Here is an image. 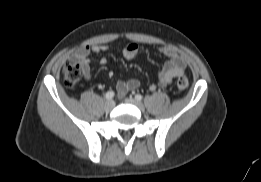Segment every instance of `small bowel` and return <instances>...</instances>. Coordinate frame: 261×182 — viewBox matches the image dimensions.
<instances>
[{"instance_id":"1","label":"small bowel","mask_w":261,"mask_h":182,"mask_svg":"<svg viewBox=\"0 0 261 182\" xmlns=\"http://www.w3.org/2000/svg\"><path fill=\"white\" fill-rule=\"evenodd\" d=\"M108 50L109 46L107 45H86L75 51L70 59L80 65L84 78L88 81L91 78L90 65L93 61L91 54L100 55ZM158 51L167 58L166 63L158 75L159 85L167 86L172 82L174 77L184 74L186 59L173 47L159 46ZM122 53L127 60H134L139 54V46L136 43H130L123 48ZM99 62L106 64L107 58L101 56L99 57ZM139 86L140 82L137 79H129L126 81L118 80L116 83V89L120 96L125 95L130 90L137 89ZM155 89L156 86L154 84L149 86L150 91H154Z\"/></svg>"}]
</instances>
